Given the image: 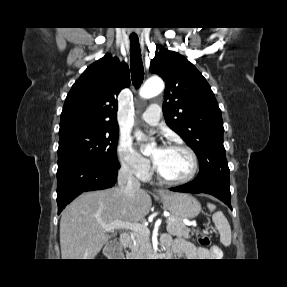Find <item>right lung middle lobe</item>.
I'll return each instance as SVG.
<instances>
[{"label":"right lung middle lobe","instance_id":"obj_1","mask_svg":"<svg viewBox=\"0 0 287 287\" xmlns=\"http://www.w3.org/2000/svg\"><path fill=\"white\" fill-rule=\"evenodd\" d=\"M118 128L79 123L60 129L58 169L73 163H92L119 169Z\"/></svg>","mask_w":287,"mask_h":287}]
</instances>
